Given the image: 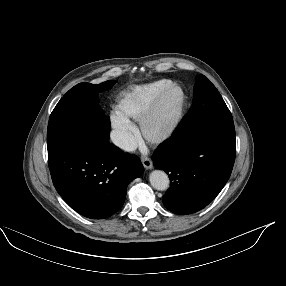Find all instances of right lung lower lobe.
<instances>
[{"mask_svg": "<svg viewBox=\"0 0 286 286\" xmlns=\"http://www.w3.org/2000/svg\"><path fill=\"white\" fill-rule=\"evenodd\" d=\"M53 184L79 214L110 217L122 207L127 185L143 174L140 159L88 136L70 138L48 150Z\"/></svg>", "mask_w": 286, "mask_h": 286, "instance_id": "obj_1", "label": "right lung lower lobe"}]
</instances>
